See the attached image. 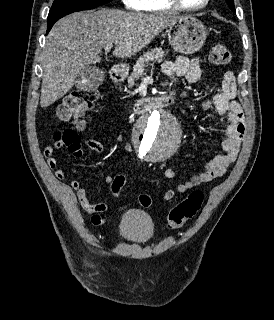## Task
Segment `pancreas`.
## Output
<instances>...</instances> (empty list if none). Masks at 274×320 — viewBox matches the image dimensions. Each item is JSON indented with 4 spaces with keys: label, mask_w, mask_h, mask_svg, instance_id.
Masks as SVG:
<instances>
[{
    "label": "pancreas",
    "mask_w": 274,
    "mask_h": 320,
    "mask_svg": "<svg viewBox=\"0 0 274 320\" xmlns=\"http://www.w3.org/2000/svg\"><path fill=\"white\" fill-rule=\"evenodd\" d=\"M164 56H166V54H164L162 48H154L151 52H145L143 56H140L134 66L131 76L128 78L130 88L131 86H134L136 80H139V78L143 76V72L145 68L149 66L150 62H152V64H155V62H163Z\"/></svg>",
    "instance_id": "cf45deb5"
}]
</instances>
